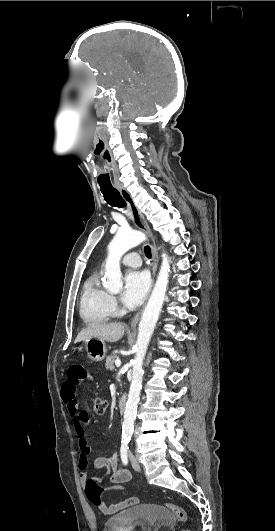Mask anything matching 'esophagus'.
<instances>
[{
	"label": "esophagus",
	"mask_w": 275,
	"mask_h": 531,
	"mask_svg": "<svg viewBox=\"0 0 275 531\" xmlns=\"http://www.w3.org/2000/svg\"><path fill=\"white\" fill-rule=\"evenodd\" d=\"M115 188L118 189L120 195L122 198L126 201L128 208H129V215L133 221V223L142 231L147 233L152 238V232L149 228V225L141 213L137 206L135 205L133 199L131 198L130 194L126 190V188L122 184L115 185ZM152 285L154 283V277L158 268V252L156 249L155 244H152ZM142 314V310L138 311L137 314L132 318L130 326L131 328H136L138 321L140 319V316Z\"/></svg>",
	"instance_id": "esophagus-1"
}]
</instances>
